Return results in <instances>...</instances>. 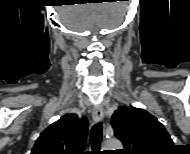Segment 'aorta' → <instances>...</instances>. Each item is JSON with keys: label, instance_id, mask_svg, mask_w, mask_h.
I'll return each mask as SVG.
<instances>
[{"label": "aorta", "instance_id": "aorta-1", "mask_svg": "<svg viewBox=\"0 0 190 154\" xmlns=\"http://www.w3.org/2000/svg\"><path fill=\"white\" fill-rule=\"evenodd\" d=\"M122 143L118 139L106 140L102 146L104 150H116L121 149Z\"/></svg>", "mask_w": 190, "mask_h": 154}]
</instances>
